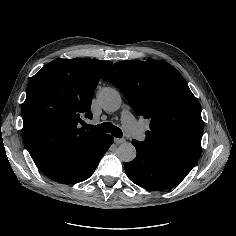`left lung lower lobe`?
Wrapping results in <instances>:
<instances>
[{
  "label": "left lung lower lobe",
  "mask_w": 236,
  "mask_h": 236,
  "mask_svg": "<svg viewBox=\"0 0 236 236\" xmlns=\"http://www.w3.org/2000/svg\"><path fill=\"white\" fill-rule=\"evenodd\" d=\"M136 158L125 163V172L136 185L149 190H165L179 184L189 170L171 157L133 140Z\"/></svg>",
  "instance_id": "1"
}]
</instances>
